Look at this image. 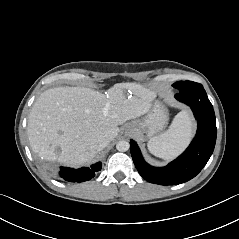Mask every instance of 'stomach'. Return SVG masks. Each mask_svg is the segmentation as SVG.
I'll use <instances>...</instances> for the list:
<instances>
[{"label": "stomach", "instance_id": "obj_1", "mask_svg": "<svg viewBox=\"0 0 239 239\" xmlns=\"http://www.w3.org/2000/svg\"><path fill=\"white\" fill-rule=\"evenodd\" d=\"M169 120L167 109L156 101L153 108L142 118L131 121L127 128L140 137L151 139L157 136Z\"/></svg>", "mask_w": 239, "mask_h": 239}]
</instances>
